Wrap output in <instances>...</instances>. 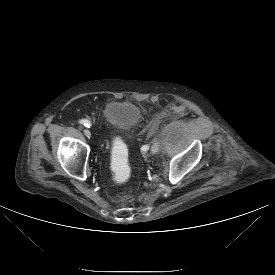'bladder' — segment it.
Here are the masks:
<instances>
[{
  "label": "bladder",
  "mask_w": 275,
  "mask_h": 275,
  "mask_svg": "<svg viewBox=\"0 0 275 275\" xmlns=\"http://www.w3.org/2000/svg\"><path fill=\"white\" fill-rule=\"evenodd\" d=\"M104 122L122 132L134 129L141 120V110L128 100H112L102 110Z\"/></svg>",
  "instance_id": "1"
}]
</instances>
